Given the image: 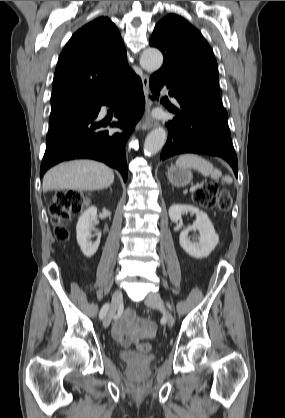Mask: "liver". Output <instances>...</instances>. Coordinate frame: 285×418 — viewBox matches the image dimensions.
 Wrapping results in <instances>:
<instances>
[{"instance_id":"liver-1","label":"liver","mask_w":285,"mask_h":418,"mask_svg":"<svg viewBox=\"0 0 285 418\" xmlns=\"http://www.w3.org/2000/svg\"><path fill=\"white\" fill-rule=\"evenodd\" d=\"M114 181L113 171L106 165L92 160H76L59 164L43 177V191L52 190H101Z\"/></svg>"}]
</instances>
